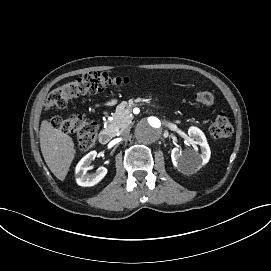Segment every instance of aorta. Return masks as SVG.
I'll list each match as a JSON object with an SVG mask.
<instances>
[{
	"label": "aorta",
	"mask_w": 271,
	"mask_h": 271,
	"mask_svg": "<svg viewBox=\"0 0 271 271\" xmlns=\"http://www.w3.org/2000/svg\"><path fill=\"white\" fill-rule=\"evenodd\" d=\"M162 134V123L157 117L141 119L135 127V138L143 144L156 142Z\"/></svg>",
	"instance_id": "1"
}]
</instances>
